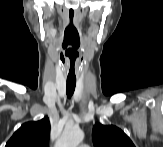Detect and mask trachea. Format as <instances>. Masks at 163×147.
Wrapping results in <instances>:
<instances>
[{
	"label": "trachea",
	"instance_id": "3493384b",
	"mask_svg": "<svg viewBox=\"0 0 163 147\" xmlns=\"http://www.w3.org/2000/svg\"><path fill=\"white\" fill-rule=\"evenodd\" d=\"M76 87V80L70 81L67 80V85H66V94L68 98H71Z\"/></svg>",
	"mask_w": 163,
	"mask_h": 147
}]
</instances>
